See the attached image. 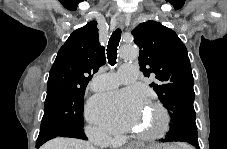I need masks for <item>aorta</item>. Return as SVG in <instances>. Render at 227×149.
I'll list each match as a JSON object with an SVG mask.
<instances>
[{
  "instance_id": "obj_1",
  "label": "aorta",
  "mask_w": 227,
  "mask_h": 149,
  "mask_svg": "<svg viewBox=\"0 0 227 149\" xmlns=\"http://www.w3.org/2000/svg\"><path fill=\"white\" fill-rule=\"evenodd\" d=\"M138 56V49L133 46H124L120 53V58L123 60H134Z\"/></svg>"
}]
</instances>
